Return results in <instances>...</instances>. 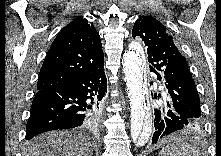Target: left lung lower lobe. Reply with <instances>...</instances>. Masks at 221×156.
Here are the masks:
<instances>
[{
  "mask_svg": "<svg viewBox=\"0 0 221 156\" xmlns=\"http://www.w3.org/2000/svg\"><path fill=\"white\" fill-rule=\"evenodd\" d=\"M157 79L161 81L163 77L155 72ZM155 98L160 97L158 108L154 109L155 119L154 127L155 132L152 138V143H156L158 140L167 136L173 132L179 130H186L189 128H195L200 125V122L195 120V118L188 116L180 112L171 102L170 98L165 95L162 96L160 93L158 95L155 93Z\"/></svg>",
  "mask_w": 221,
  "mask_h": 156,
  "instance_id": "0a47b994",
  "label": "left lung lower lobe"
}]
</instances>
